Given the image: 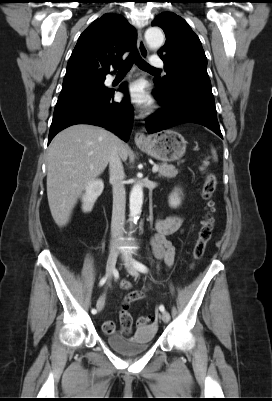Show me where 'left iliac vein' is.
I'll return each instance as SVG.
<instances>
[{
	"label": "left iliac vein",
	"instance_id": "1",
	"mask_svg": "<svg viewBox=\"0 0 272 401\" xmlns=\"http://www.w3.org/2000/svg\"><path fill=\"white\" fill-rule=\"evenodd\" d=\"M125 266L130 275L135 276V277H137L139 275L137 269L135 268V266L133 265L131 260L125 259ZM160 317H161L162 321L165 323H168L170 321V315L166 311L162 312Z\"/></svg>",
	"mask_w": 272,
	"mask_h": 401
}]
</instances>
